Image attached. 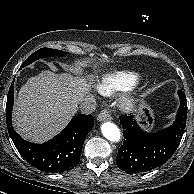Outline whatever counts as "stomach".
Masks as SVG:
<instances>
[{
  "mask_svg": "<svg viewBox=\"0 0 194 194\" xmlns=\"http://www.w3.org/2000/svg\"><path fill=\"white\" fill-rule=\"evenodd\" d=\"M139 111H140L139 118L140 126L146 130L151 129L154 124V114L152 109L148 104L143 102Z\"/></svg>",
  "mask_w": 194,
  "mask_h": 194,
  "instance_id": "1",
  "label": "stomach"
}]
</instances>
